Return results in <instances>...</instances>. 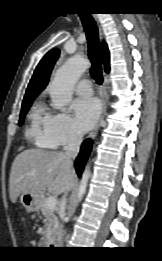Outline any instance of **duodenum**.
Returning a JSON list of instances; mask_svg holds the SVG:
<instances>
[{
  "label": "duodenum",
  "mask_w": 162,
  "mask_h": 261,
  "mask_svg": "<svg viewBox=\"0 0 162 261\" xmlns=\"http://www.w3.org/2000/svg\"><path fill=\"white\" fill-rule=\"evenodd\" d=\"M47 245H48V246H52V245H54V241H53L52 238L49 240V242L47 243Z\"/></svg>",
  "instance_id": "410a0bca"
}]
</instances>
